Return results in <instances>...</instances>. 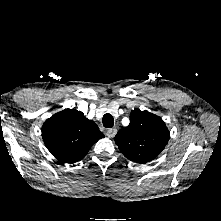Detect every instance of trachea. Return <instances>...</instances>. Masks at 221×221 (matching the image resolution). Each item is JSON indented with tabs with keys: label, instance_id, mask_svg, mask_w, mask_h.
<instances>
[{
	"label": "trachea",
	"instance_id": "1",
	"mask_svg": "<svg viewBox=\"0 0 221 221\" xmlns=\"http://www.w3.org/2000/svg\"><path fill=\"white\" fill-rule=\"evenodd\" d=\"M102 122H103V126L105 128H112L114 125V119H113L112 115L109 113H107L103 116Z\"/></svg>",
	"mask_w": 221,
	"mask_h": 221
}]
</instances>
